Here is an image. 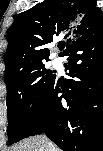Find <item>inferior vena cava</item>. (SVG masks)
Instances as JSON below:
<instances>
[{
    "mask_svg": "<svg viewBox=\"0 0 103 151\" xmlns=\"http://www.w3.org/2000/svg\"><path fill=\"white\" fill-rule=\"evenodd\" d=\"M44 143L46 147L51 148L52 143L46 137H44ZM46 150L50 151L49 149H46Z\"/></svg>",
    "mask_w": 103,
    "mask_h": 151,
    "instance_id": "inferior-vena-cava-1",
    "label": "inferior vena cava"
}]
</instances>
